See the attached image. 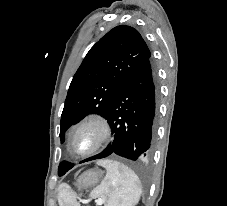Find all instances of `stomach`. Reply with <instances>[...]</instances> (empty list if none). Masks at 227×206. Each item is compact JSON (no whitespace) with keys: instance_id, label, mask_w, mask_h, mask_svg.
<instances>
[{"instance_id":"0dacf381","label":"stomach","mask_w":227,"mask_h":206,"mask_svg":"<svg viewBox=\"0 0 227 206\" xmlns=\"http://www.w3.org/2000/svg\"><path fill=\"white\" fill-rule=\"evenodd\" d=\"M103 175V171L99 169H90L85 171L80 177L77 179V187L78 189H87L89 187L96 186L101 177Z\"/></svg>"}]
</instances>
